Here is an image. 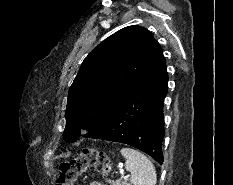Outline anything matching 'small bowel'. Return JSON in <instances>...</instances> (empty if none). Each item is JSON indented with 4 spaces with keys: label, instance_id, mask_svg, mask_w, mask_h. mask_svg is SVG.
<instances>
[{
    "label": "small bowel",
    "instance_id": "obj_1",
    "mask_svg": "<svg viewBox=\"0 0 233 185\" xmlns=\"http://www.w3.org/2000/svg\"><path fill=\"white\" fill-rule=\"evenodd\" d=\"M90 185H104V184L99 181H93L90 183Z\"/></svg>",
    "mask_w": 233,
    "mask_h": 185
}]
</instances>
